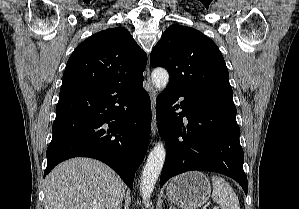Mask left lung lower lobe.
I'll use <instances>...</instances> for the list:
<instances>
[{
    "instance_id": "1",
    "label": "left lung lower lobe",
    "mask_w": 299,
    "mask_h": 209,
    "mask_svg": "<svg viewBox=\"0 0 299 209\" xmlns=\"http://www.w3.org/2000/svg\"><path fill=\"white\" fill-rule=\"evenodd\" d=\"M179 97L184 100L174 105ZM179 107L183 112L177 114ZM156 118L167 149L160 186L180 173L205 170L235 179L247 194L233 92L168 84L157 98Z\"/></svg>"
}]
</instances>
